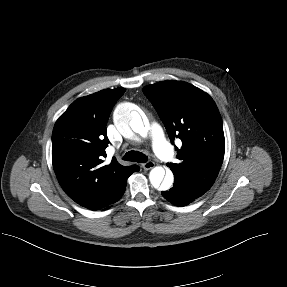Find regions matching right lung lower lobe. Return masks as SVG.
I'll list each match as a JSON object with an SVG mask.
<instances>
[{
	"mask_svg": "<svg viewBox=\"0 0 287 287\" xmlns=\"http://www.w3.org/2000/svg\"><path fill=\"white\" fill-rule=\"evenodd\" d=\"M125 188H126V186L122 189V191L119 193V195L115 198V200H114L113 203H115L116 201H118V200L122 197V195H123V193H124V191H125ZM113 203H112V204H113ZM108 207H109V205L106 206V207H104V208L107 209Z\"/></svg>",
	"mask_w": 287,
	"mask_h": 287,
	"instance_id": "1",
	"label": "right lung lower lobe"
}]
</instances>
